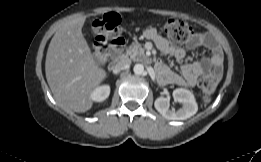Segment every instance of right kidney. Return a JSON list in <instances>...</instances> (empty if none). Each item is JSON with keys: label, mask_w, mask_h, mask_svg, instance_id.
Instances as JSON below:
<instances>
[{"label": "right kidney", "mask_w": 261, "mask_h": 162, "mask_svg": "<svg viewBox=\"0 0 261 162\" xmlns=\"http://www.w3.org/2000/svg\"><path fill=\"white\" fill-rule=\"evenodd\" d=\"M110 94V86L102 85L96 88L90 95L91 99L95 102H102L108 98Z\"/></svg>", "instance_id": "1"}]
</instances>
